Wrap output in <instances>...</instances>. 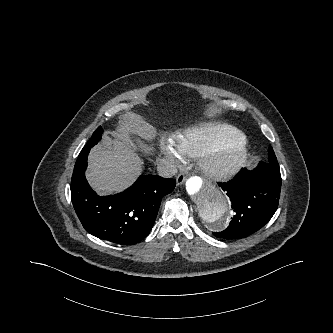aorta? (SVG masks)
Wrapping results in <instances>:
<instances>
[{"label":"aorta","instance_id":"762f6f07","mask_svg":"<svg viewBox=\"0 0 333 333\" xmlns=\"http://www.w3.org/2000/svg\"><path fill=\"white\" fill-rule=\"evenodd\" d=\"M186 190L196 216L202 222L218 228L229 212L224 193L213 183L196 176L187 179Z\"/></svg>","mask_w":333,"mask_h":333}]
</instances>
